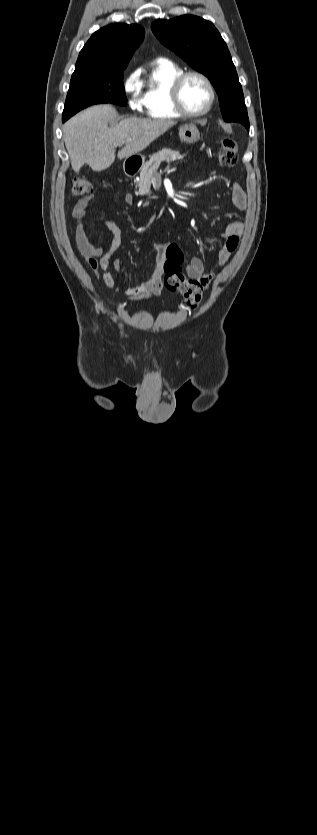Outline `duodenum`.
Listing matches in <instances>:
<instances>
[{
    "instance_id": "duodenum-1",
    "label": "duodenum",
    "mask_w": 317,
    "mask_h": 835,
    "mask_svg": "<svg viewBox=\"0 0 317 835\" xmlns=\"http://www.w3.org/2000/svg\"><path fill=\"white\" fill-rule=\"evenodd\" d=\"M138 169H139V163L138 162H136L134 160H131V159L126 160V162L124 164V171H125V174L127 176L134 175L138 171Z\"/></svg>"
}]
</instances>
